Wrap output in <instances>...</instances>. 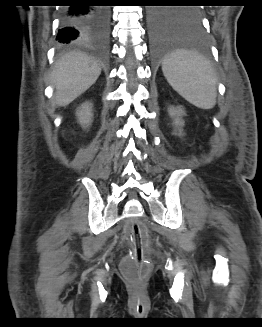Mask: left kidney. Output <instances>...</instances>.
<instances>
[{
	"label": "left kidney",
	"instance_id": "left-kidney-1",
	"mask_svg": "<svg viewBox=\"0 0 262 327\" xmlns=\"http://www.w3.org/2000/svg\"><path fill=\"white\" fill-rule=\"evenodd\" d=\"M169 115L174 118V124L176 127H180L183 125V121L181 120V116L184 115V110L181 107L174 108L170 107L168 109ZM179 134L181 135V129H179Z\"/></svg>",
	"mask_w": 262,
	"mask_h": 327
}]
</instances>
